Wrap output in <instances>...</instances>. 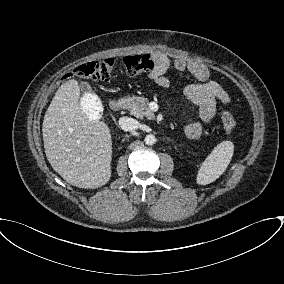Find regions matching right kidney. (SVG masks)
<instances>
[{"label": "right kidney", "mask_w": 284, "mask_h": 284, "mask_svg": "<svg viewBox=\"0 0 284 284\" xmlns=\"http://www.w3.org/2000/svg\"><path fill=\"white\" fill-rule=\"evenodd\" d=\"M98 104L97 97L91 93H85L81 100V107L85 113L87 119L90 121H96L99 119L98 115Z\"/></svg>", "instance_id": "obj_1"}]
</instances>
